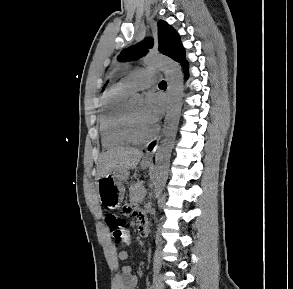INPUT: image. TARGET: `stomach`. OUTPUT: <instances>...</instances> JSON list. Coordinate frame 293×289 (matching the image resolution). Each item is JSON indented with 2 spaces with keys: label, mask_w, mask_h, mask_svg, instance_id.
Wrapping results in <instances>:
<instances>
[{
  "label": "stomach",
  "mask_w": 293,
  "mask_h": 289,
  "mask_svg": "<svg viewBox=\"0 0 293 289\" xmlns=\"http://www.w3.org/2000/svg\"><path fill=\"white\" fill-rule=\"evenodd\" d=\"M141 166L147 168L150 165L142 163ZM128 178L129 172L125 169L114 170L107 177L100 178L97 183V191L101 204L111 210L120 207L125 195L123 183Z\"/></svg>",
  "instance_id": "1"
}]
</instances>
